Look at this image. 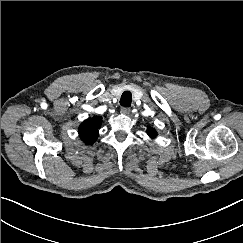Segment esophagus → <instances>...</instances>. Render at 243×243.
<instances>
[{
	"mask_svg": "<svg viewBox=\"0 0 243 243\" xmlns=\"http://www.w3.org/2000/svg\"><path fill=\"white\" fill-rule=\"evenodd\" d=\"M121 112H122L123 114H129V112H130V108H128V107H122V108H121Z\"/></svg>",
	"mask_w": 243,
	"mask_h": 243,
	"instance_id": "obj_1",
	"label": "esophagus"
}]
</instances>
